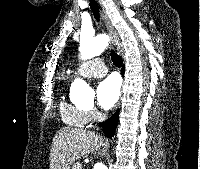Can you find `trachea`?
I'll return each instance as SVG.
<instances>
[{
    "label": "trachea",
    "mask_w": 200,
    "mask_h": 169,
    "mask_svg": "<svg viewBox=\"0 0 200 169\" xmlns=\"http://www.w3.org/2000/svg\"><path fill=\"white\" fill-rule=\"evenodd\" d=\"M89 1H90L89 3L90 8L95 16V19L99 22L100 21L99 6L95 0H89ZM110 55L114 65L117 67H121L123 62L121 57L114 50L111 51Z\"/></svg>",
    "instance_id": "1"
}]
</instances>
